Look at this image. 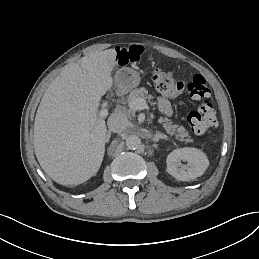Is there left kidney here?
Listing matches in <instances>:
<instances>
[{
    "label": "left kidney",
    "instance_id": "left-kidney-1",
    "mask_svg": "<svg viewBox=\"0 0 259 259\" xmlns=\"http://www.w3.org/2000/svg\"><path fill=\"white\" fill-rule=\"evenodd\" d=\"M187 161V165H182ZM167 172L177 180L190 181L205 172L209 166V160L205 153L196 148H180L173 150L166 159Z\"/></svg>",
    "mask_w": 259,
    "mask_h": 259
}]
</instances>
